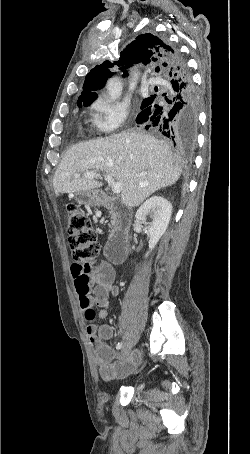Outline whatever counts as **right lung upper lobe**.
<instances>
[{
	"instance_id": "1",
	"label": "right lung upper lobe",
	"mask_w": 250,
	"mask_h": 454,
	"mask_svg": "<svg viewBox=\"0 0 250 454\" xmlns=\"http://www.w3.org/2000/svg\"><path fill=\"white\" fill-rule=\"evenodd\" d=\"M168 43L159 37L146 33L139 35L135 41L127 45L120 53L119 60L112 63L104 61L96 65L86 75L83 84V91L79 102H92L97 98V93L92 92L104 86L108 77L113 75L111 71L114 65L121 70L131 67L133 64L143 63L144 65H158L155 70L165 76L171 67ZM127 72H124V76Z\"/></svg>"
}]
</instances>
